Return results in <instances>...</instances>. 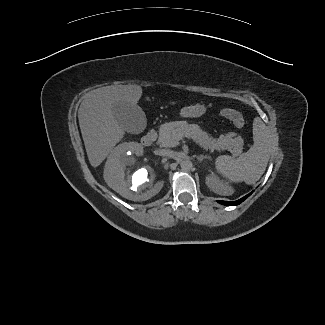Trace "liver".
Returning a JSON list of instances; mask_svg holds the SVG:
<instances>
[{"label": "liver", "instance_id": "6515ba94", "mask_svg": "<svg viewBox=\"0 0 325 325\" xmlns=\"http://www.w3.org/2000/svg\"><path fill=\"white\" fill-rule=\"evenodd\" d=\"M141 96L139 85L105 86L86 94L78 119L91 166L98 167L124 137L125 131L114 116L113 106L119 102L137 105ZM132 145L142 151L140 144Z\"/></svg>", "mask_w": 325, "mask_h": 325}]
</instances>
